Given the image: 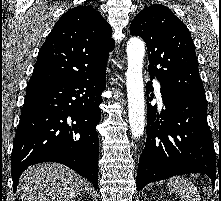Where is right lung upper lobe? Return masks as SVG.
I'll use <instances>...</instances> for the list:
<instances>
[{
    "label": "right lung upper lobe",
    "instance_id": "1",
    "mask_svg": "<svg viewBox=\"0 0 221 201\" xmlns=\"http://www.w3.org/2000/svg\"><path fill=\"white\" fill-rule=\"evenodd\" d=\"M112 28L89 6L64 13L38 53L28 83H60L106 72L108 54L114 49Z\"/></svg>",
    "mask_w": 221,
    "mask_h": 201
}]
</instances>
